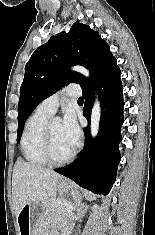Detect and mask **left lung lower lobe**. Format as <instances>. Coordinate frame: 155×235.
I'll return each instance as SVG.
<instances>
[{"label":"left lung lower lobe","mask_w":155,"mask_h":235,"mask_svg":"<svg viewBox=\"0 0 155 235\" xmlns=\"http://www.w3.org/2000/svg\"><path fill=\"white\" fill-rule=\"evenodd\" d=\"M121 71L114 59L100 74L95 83L82 88L85 98L83 114L90 122L94 91L98 88L101 103L99 133L95 139L90 136V126L84 128L86 143L77 160L72 164L55 169L69 177L81 187L95 194L107 195L116 179L121 156L118 145L121 142L120 128L123 117V87Z\"/></svg>","instance_id":"left-lung-lower-lobe-1"}]
</instances>
